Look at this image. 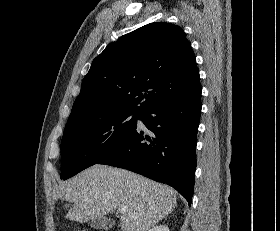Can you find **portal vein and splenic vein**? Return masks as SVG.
Returning <instances> with one entry per match:
<instances>
[{"label":"portal vein and splenic vein","instance_id":"obj_1","mask_svg":"<svg viewBox=\"0 0 280 231\" xmlns=\"http://www.w3.org/2000/svg\"><path fill=\"white\" fill-rule=\"evenodd\" d=\"M119 211H121V213H123V211H126L125 207H118Z\"/></svg>","mask_w":280,"mask_h":231}]
</instances>
